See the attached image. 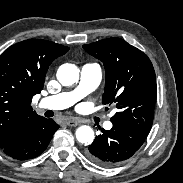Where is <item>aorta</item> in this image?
<instances>
[{
  "mask_svg": "<svg viewBox=\"0 0 183 183\" xmlns=\"http://www.w3.org/2000/svg\"><path fill=\"white\" fill-rule=\"evenodd\" d=\"M79 73L76 65L66 63L58 68L57 79L63 86H70L78 82ZM94 138V131L90 126L83 125L76 130V139L82 144H91Z\"/></svg>",
  "mask_w": 183,
  "mask_h": 183,
  "instance_id": "obj_1",
  "label": "aorta"
}]
</instances>
